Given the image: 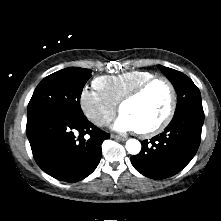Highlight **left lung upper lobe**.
Masks as SVG:
<instances>
[{"instance_id": "1", "label": "left lung upper lobe", "mask_w": 221, "mask_h": 221, "mask_svg": "<svg viewBox=\"0 0 221 221\" xmlns=\"http://www.w3.org/2000/svg\"><path fill=\"white\" fill-rule=\"evenodd\" d=\"M158 67L172 82L177 92L178 101L174 115L187 109H203L200 91L189 77L168 67Z\"/></svg>"}]
</instances>
